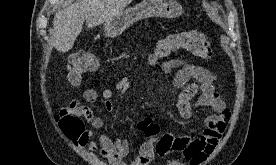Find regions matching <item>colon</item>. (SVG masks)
<instances>
[{
  "instance_id": "colon-1",
  "label": "colon",
  "mask_w": 276,
  "mask_h": 165,
  "mask_svg": "<svg viewBox=\"0 0 276 165\" xmlns=\"http://www.w3.org/2000/svg\"><path fill=\"white\" fill-rule=\"evenodd\" d=\"M178 50H186L192 55L209 59L212 49L208 38L201 32L190 30L172 34L158 40L153 58L162 59ZM100 64L94 54L88 51H79L69 57L67 65V79L70 84L78 85L84 75L98 71ZM61 128L73 140H77L83 130V123L75 117L58 116ZM140 129L144 130L150 137H155L159 132V127L149 118L139 123Z\"/></svg>"
}]
</instances>
